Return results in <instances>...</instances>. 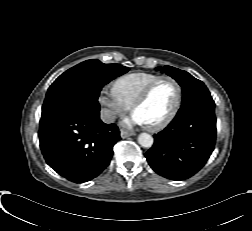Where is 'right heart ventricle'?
<instances>
[{"instance_id":"e07e8e85","label":"right heart ventricle","mask_w":252,"mask_h":231,"mask_svg":"<svg viewBox=\"0 0 252 231\" xmlns=\"http://www.w3.org/2000/svg\"><path fill=\"white\" fill-rule=\"evenodd\" d=\"M158 77L159 75L152 73H131L119 77L114 83V88L120 97L131 106L146 86Z\"/></svg>"}]
</instances>
